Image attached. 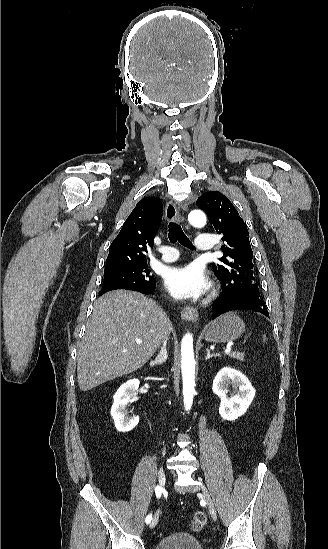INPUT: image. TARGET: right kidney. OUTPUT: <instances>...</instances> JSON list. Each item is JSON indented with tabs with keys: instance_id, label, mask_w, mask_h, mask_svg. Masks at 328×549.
Segmentation results:
<instances>
[{
	"instance_id": "1",
	"label": "right kidney",
	"mask_w": 328,
	"mask_h": 549,
	"mask_svg": "<svg viewBox=\"0 0 328 549\" xmlns=\"http://www.w3.org/2000/svg\"><path fill=\"white\" fill-rule=\"evenodd\" d=\"M139 387L138 379H130L124 385L119 387L113 399L114 403L111 407V415L114 419L115 427L120 433H128L132 431L139 423V417H126L128 411L126 409L128 403L135 401Z\"/></svg>"
}]
</instances>
